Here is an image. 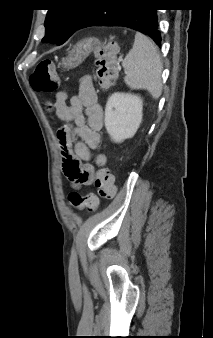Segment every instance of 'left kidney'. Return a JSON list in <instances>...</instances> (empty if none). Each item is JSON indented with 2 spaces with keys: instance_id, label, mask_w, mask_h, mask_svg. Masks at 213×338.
Masks as SVG:
<instances>
[{
  "instance_id": "1",
  "label": "left kidney",
  "mask_w": 213,
  "mask_h": 338,
  "mask_svg": "<svg viewBox=\"0 0 213 338\" xmlns=\"http://www.w3.org/2000/svg\"><path fill=\"white\" fill-rule=\"evenodd\" d=\"M143 102L138 95L114 93L105 108V127L111 139L121 143L132 138L142 121Z\"/></svg>"
}]
</instances>
